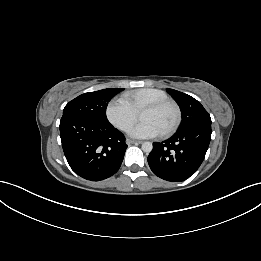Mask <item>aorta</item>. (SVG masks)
<instances>
[{"instance_id":"aorta-1","label":"aorta","mask_w":261,"mask_h":261,"mask_svg":"<svg viewBox=\"0 0 261 261\" xmlns=\"http://www.w3.org/2000/svg\"><path fill=\"white\" fill-rule=\"evenodd\" d=\"M153 149V145L151 142H143L142 143V150L146 153H150Z\"/></svg>"}]
</instances>
